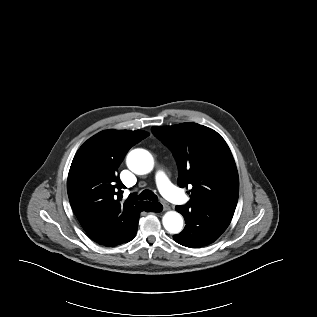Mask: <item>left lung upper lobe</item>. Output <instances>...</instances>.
I'll return each mask as SVG.
<instances>
[{"instance_id":"1","label":"left lung upper lobe","mask_w":317,"mask_h":317,"mask_svg":"<svg viewBox=\"0 0 317 317\" xmlns=\"http://www.w3.org/2000/svg\"><path fill=\"white\" fill-rule=\"evenodd\" d=\"M151 130L176 159L178 185L192 187L190 201L181 207L206 205L235 211L238 173L228 145L217 132L196 123L152 127Z\"/></svg>"}]
</instances>
